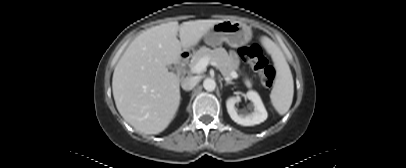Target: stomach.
<instances>
[{
    "instance_id": "stomach-1",
    "label": "stomach",
    "mask_w": 406,
    "mask_h": 168,
    "mask_svg": "<svg viewBox=\"0 0 406 168\" xmlns=\"http://www.w3.org/2000/svg\"><path fill=\"white\" fill-rule=\"evenodd\" d=\"M251 38V28L245 23L234 20H223L204 35L205 43L212 47L226 42L230 47L239 48L246 45Z\"/></svg>"
}]
</instances>
